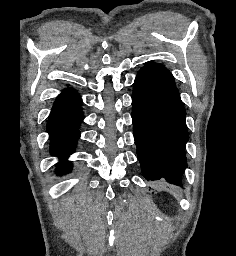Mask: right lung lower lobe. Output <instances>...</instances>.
I'll return each instance as SVG.
<instances>
[{
	"mask_svg": "<svg viewBox=\"0 0 236 256\" xmlns=\"http://www.w3.org/2000/svg\"><path fill=\"white\" fill-rule=\"evenodd\" d=\"M83 120L81 98L73 88H67L56 99L50 113L47 131L50 135V153L66 159L73 153L80 137L79 126ZM57 173L66 174L71 170L69 161L57 164Z\"/></svg>",
	"mask_w": 236,
	"mask_h": 256,
	"instance_id": "1",
	"label": "right lung lower lobe"
}]
</instances>
